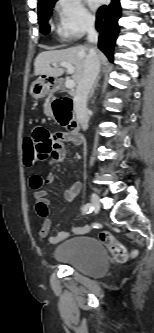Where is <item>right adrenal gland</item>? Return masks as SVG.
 Returning a JSON list of instances; mask_svg holds the SVG:
<instances>
[{
  "label": "right adrenal gland",
  "instance_id": "obj_1",
  "mask_svg": "<svg viewBox=\"0 0 154 333\" xmlns=\"http://www.w3.org/2000/svg\"><path fill=\"white\" fill-rule=\"evenodd\" d=\"M99 79H100V76L97 77V79H96V81H95V84L93 85V88H92V90H91V92H90L89 97H92V96H93L94 91H95V89H96V87H97V85H98V81H99Z\"/></svg>",
  "mask_w": 154,
  "mask_h": 333
}]
</instances>
